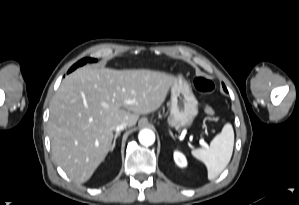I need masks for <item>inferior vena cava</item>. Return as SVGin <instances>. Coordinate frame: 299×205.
<instances>
[{
	"label": "inferior vena cava",
	"instance_id": "1",
	"mask_svg": "<svg viewBox=\"0 0 299 205\" xmlns=\"http://www.w3.org/2000/svg\"><path fill=\"white\" fill-rule=\"evenodd\" d=\"M128 123L127 122H122L119 125L116 126L115 130L116 132H120L123 129H125L127 127Z\"/></svg>",
	"mask_w": 299,
	"mask_h": 205
}]
</instances>
